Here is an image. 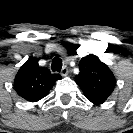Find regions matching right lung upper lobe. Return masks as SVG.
<instances>
[{"instance_id":"right-lung-upper-lobe-1","label":"right lung upper lobe","mask_w":133,"mask_h":133,"mask_svg":"<svg viewBox=\"0 0 133 133\" xmlns=\"http://www.w3.org/2000/svg\"><path fill=\"white\" fill-rule=\"evenodd\" d=\"M59 79L60 75L51 74L49 69L40 67L36 60H29L20 67L14 80V88L25 100L37 102L49 93Z\"/></svg>"}]
</instances>
